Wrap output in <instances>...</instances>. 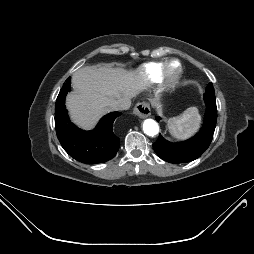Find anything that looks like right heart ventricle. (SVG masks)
Segmentation results:
<instances>
[{
	"mask_svg": "<svg viewBox=\"0 0 254 254\" xmlns=\"http://www.w3.org/2000/svg\"><path fill=\"white\" fill-rule=\"evenodd\" d=\"M166 65L165 61L150 62L145 64L141 69V76L144 81L153 84L161 80L163 69Z\"/></svg>",
	"mask_w": 254,
	"mask_h": 254,
	"instance_id": "obj_1",
	"label": "right heart ventricle"
}]
</instances>
